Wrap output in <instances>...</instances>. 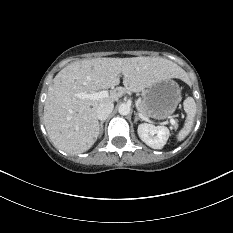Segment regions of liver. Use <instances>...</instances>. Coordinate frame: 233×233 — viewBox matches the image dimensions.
<instances>
[{
	"mask_svg": "<svg viewBox=\"0 0 233 233\" xmlns=\"http://www.w3.org/2000/svg\"><path fill=\"white\" fill-rule=\"evenodd\" d=\"M123 75L124 87H116ZM184 70L161 57L93 58L64 67L48 88L44 105V125L54 146L79 154L92 147L99 136L97 107L117 101L126 91L140 92L152 84L182 78ZM112 88L107 98L91 100L77 93H93Z\"/></svg>",
	"mask_w": 233,
	"mask_h": 233,
	"instance_id": "liver-1",
	"label": "liver"
}]
</instances>
